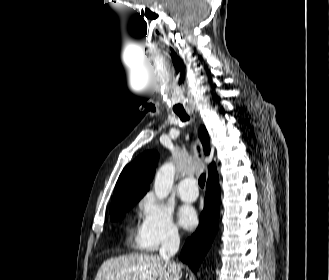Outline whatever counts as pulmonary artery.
Returning <instances> with one entry per match:
<instances>
[{
  "label": "pulmonary artery",
  "instance_id": "e3ab8cb5",
  "mask_svg": "<svg viewBox=\"0 0 329 280\" xmlns=\"http://www.w3.org/2000/svg\"><path fill=\"white\" fill-rule=\"evenodd\" d=\"M178 195L184 201H195L198 196L196 180L192 177L182 179L178 185Z\"/></svg>",
  "mask_w": 329,
  "mask_h": 280
}]
</instances>
